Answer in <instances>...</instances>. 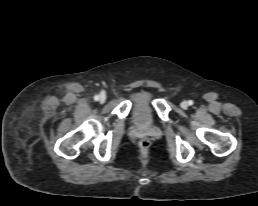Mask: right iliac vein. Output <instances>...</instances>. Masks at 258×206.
Returning <instances> with one entry per match:
<instances>
[{
  "label": "right iliac vein",
  "mask_w": 258,
  "mask_h": 206,
  "mask_svg": "<svg viewBox=\"0 0 258 206\" xmlns=\"http://www.w3.org/2000/svg\"><path fill=\"white\" fill-rule=\"evenodd\" d=\"M106 101V95L105 94H101L100 96H99V102L100 103H104Z\"/></svg>",
  "instance_id": "obj_1"
}]
</instances>
